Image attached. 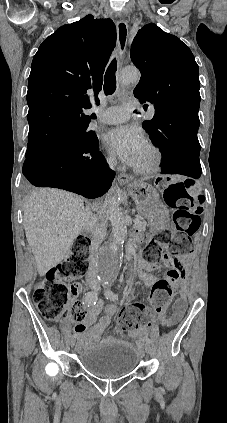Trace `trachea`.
<instances>
[{"instance_id": "3493384b", "label": "trachea", "mask_w": 227, "mask_h": 423, "mask_svg": "<svg viewBox=\"0 0 227 423\" xmlns=\"http://www.w3.org/2000/svg\"><path fill=\"white\" fill-rule=\"evenodd\" d=\"M116 70H117V62H116V59H113L105 73V81H104L105 95H112L116 90Z\"/></svg>"}]
</instances>
